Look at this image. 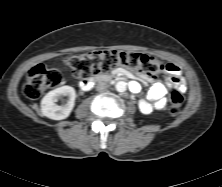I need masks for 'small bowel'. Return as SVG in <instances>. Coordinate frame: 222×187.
<instances>
[{
	"instance_id": "small-bowel-1",
	"label": "small bowel",
	"mask_w": 222,
	"mask_h": 187,
	"mask_svg": "<svg viewBox=\"0 0 222 187\" xmlns=\"http://www.w3.org/2000/svg\"><path fill=\"white\" fill-rule=\"evenodd\" d=\"M166 73L169 77L163 81L157 80L154 77L141 75V77L151 84L146 98L139 103L141 111L145 114H150L154 110H162L166 105L165 95L170 86H176L181 90L186 89V82L180 78V68L173 64L166 65ZM135 90H139L138 85H134Z\"/></svg>"
}]
</instances>
